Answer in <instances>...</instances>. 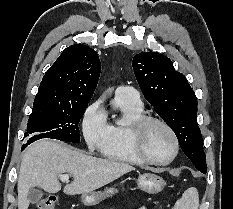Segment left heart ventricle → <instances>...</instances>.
<instances>
[{"mask_svg": "<svg viewBox=\"0 0 233 209\" xmlns=\"http://www.w3.org/2000/svg\"><path fill=\"white\" fill-rule=\"evenodd\" d=\"M144 148L149 157L157 161H165L174 150L170 134L159 124H151L146 131Z\"/></svg>", "mask_w": 233, "mask_h": 209, "instance_id": "b2bd125f", "label": "left heart ventricle"}]
</instances>
